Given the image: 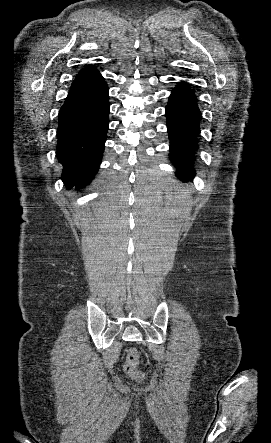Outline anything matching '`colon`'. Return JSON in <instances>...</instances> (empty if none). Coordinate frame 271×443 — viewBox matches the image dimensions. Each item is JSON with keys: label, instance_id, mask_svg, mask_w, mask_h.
<instances>
[{"label": "colon", "instance_id": "obj_1", "mask_svg": "<svg viewBox=\"0 0 271 443\" xmlns=\"http://www.w3.org/2000/svg\"><path fill=\"white\" fill-rule=\"evenodd\" d=\"M139 361L140 355L137 349L129 350L124 363V372L136 381H141L144 378V373L139 369Z\"/></svg>", "mask_w": 271, "mask_h": 443}]
</instances>
